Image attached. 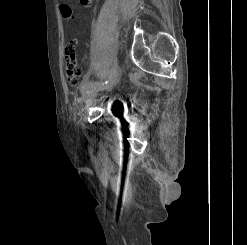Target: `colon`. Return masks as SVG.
Listing matches in <instances>:
<instances>
[{"instance_id": "1", "label": "colon", "mask_w": 247, "mask_h": 245, "mask_svg": "<svg viewBox=\"0 0 247 245\" xmlns=\"http://www.w3.org/2000/svg\"><path fill=\"white\" fill-rule=\"evenodd\" d=\"M66 78L71 85L80 83L82 75L80 63L76 56V40L69 39L65 47Z\"/></svg>"}]
</instances>
